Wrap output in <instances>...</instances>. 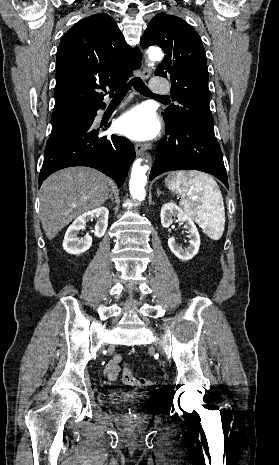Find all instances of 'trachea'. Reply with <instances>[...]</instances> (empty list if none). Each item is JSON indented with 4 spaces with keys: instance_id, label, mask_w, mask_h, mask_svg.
Returning <instances> with one entry per match:
<instances>
[{
    "instance_id": "3493384b",
    "label": "trachea",
    "mask_w": 279,
    "mask_h": 465,
    "mask_svg": "<svg viewBox=\"0 0 279 465\" xmlns=\"http://www.w3.org/2000/svg\"><path fill=\"white\" fill-rule=\"evenodd\" d=\"M131 85L142 95L144 96H149V97H154L157 99H164L167 100L168 97L166 96H160V95H155L153 94L148 87L145 85L143 80L140 77H135L133 78L125 87L120 89L119 91L116 92L115 96H125L130 89Z\"/></svg>"
}]
</instances>
